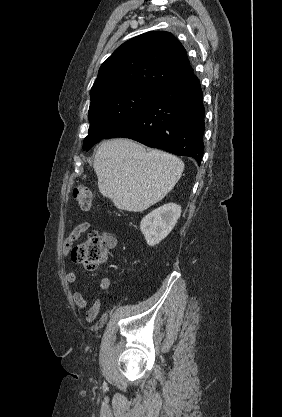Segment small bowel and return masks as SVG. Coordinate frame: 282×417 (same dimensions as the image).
I'll use <instances>...</instances> for the list:
<instances>
[{
    "mask_svg": "<svg viewBox=\"0 0 282 417\" xmlns=\"http://www.w3.org/2000/svg\"><path fill=\"white\" fill-rule=\"evenodd\" d=\"M90 228H91V223L87 221L77 224L72 229V231L70 232V234L64 241L63 250H62L63 255L65 256L68 255L74 242L77 241L81 237V235L87 232ZM101 236L105 240L109 248L115 247L117 243V239L113 234L105 231L101 234ZM65 278L67 282L74 283L77 280V273L74 270H68L65 273ZM110 285H111L110 279L107 277H102L99 280L98 289L101 292H103V291L108 290L110 288ZM72 299H73L74 304L79 308H84L87 304L86 299L80 292H74L72 294ZM100 306H101V300L100 298H96L86 312L85 317H86L87 322H93L96 319L100 311Z\"/></svg>",
    "mask_w": 282,
    "mask_h": 417,
    "instance_id": "1",
    "label": "small bowel"
}]
</instances>
